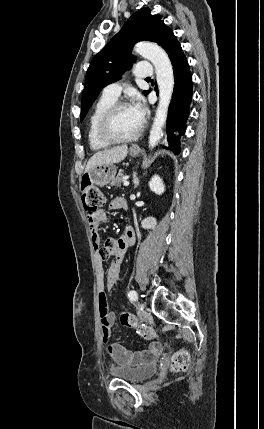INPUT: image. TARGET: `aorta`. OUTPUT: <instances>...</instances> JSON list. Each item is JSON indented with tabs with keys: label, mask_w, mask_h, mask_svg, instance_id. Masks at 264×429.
Instances as JSON below:
<instances>
[{
	"label": "aorta",
	"mask_w": 264,
	"mask_h": 429,
	"mask_svg": "<svg viewBox=\"0 0 264 429\" xmlns=\"http://www.w3.org/2000/svg\"><path fill=\"white\" fill-rule=\"evenodd\" d=\"M134 51L148 59L155 67L159 89V103L149 134V147H155L163 136V127L167 119L168 107L174 88V74L170 59L166 52L156 43L142 42Z\"/></svg>",
	"instance_id": "1"
}]
</instances>
